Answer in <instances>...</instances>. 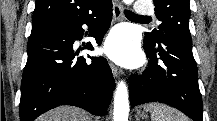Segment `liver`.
Masks as SVG:
<instances>
[{
    "instance_id": "liver-1",
    "label": "liver",
    "mask_w": 217,
    "mask_h": 121,
    "mask_svg": "<svg viewBox=\"0 0 217 121\" xmlns=\"http://www.w3.org/2000/svg\"><path fill=\"white\" fill-rule=\"evenodd\" d=\"M37 121H89V116L78 107L60 106L40 116Z\"/></svg>"
}]
</instances>
